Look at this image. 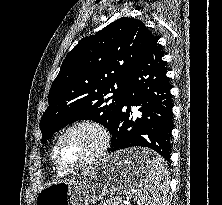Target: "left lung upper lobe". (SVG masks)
Segmentation results:
<instances>
[{"label": "left lung upper lobe", "instance_id": "5c2ea615", "mask_svg": "<svg viewBox=\"0 0 222 205\" xmlns=\"http://www.w3.org/2000/svg\"><path fill=\"white\" fill-rule=\"evenodd\" d=\"M150 36L143 22L122 17L79 41L50 88L49 107L40 121L42 143L76 120H93L110 131L127 75Z\"/></svg>", "mask_w": 222, "mask_h": 205}]
</instances>
